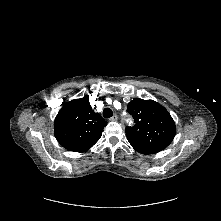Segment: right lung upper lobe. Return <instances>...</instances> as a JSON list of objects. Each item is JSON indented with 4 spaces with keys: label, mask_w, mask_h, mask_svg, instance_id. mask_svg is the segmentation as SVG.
Here are the masks:
<instances>
[{
    "label": "right lung upper lobe",
    "mask_w": 221,
    "mask_h": 221,
    "mask_svg": "<svg viewBox=\"0 0 221 221\" xmlns=\"http://www.w3.org/2000/svg\"><path fill=\"white\" fill-rule=\"evenodd\" d=\"M105 121L93 111L88 95L66 103L54 122L57 141L73 152L88 151L101 137Z\"/></svg>",
    "instance_id": "obj_1"
}]
</instances>
